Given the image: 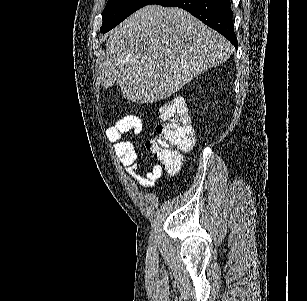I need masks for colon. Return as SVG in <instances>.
Here are the masks:
<instances>
[{
  "instance_id": "obj_1",
  "label": "colon",
  "mask_w": 307,
  "mask_h": 301,
  "mask_svg": "<svg viewBox=\"0 0 307 301\" xmlns=\"http://www.w3.org/2000/svg\"><path fill=\"white\" fill-rule=\"evenodd\" d=\"M157 113L163 122L156 126L154 136L146 141V148L168 174H175L182 165L180 152L194 145V129L181 98L171 97L163 101Z\"/></svg>"
}]
</instances>
